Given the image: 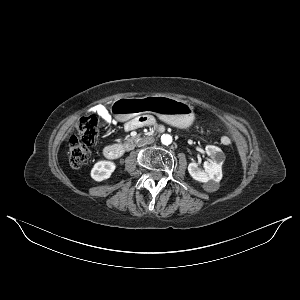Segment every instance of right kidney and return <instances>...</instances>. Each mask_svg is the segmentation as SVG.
Here are the masks:
<instances>
[{
	"label": "right kidney",
	"mask_w": 300,
	"mask_h": 300,
	"mask_svg": "<svg viewBox=\"0 0 300 300\" xmlns=\"http://www.w3.org/2000/svg\"><path fill=\"white\" fill-rule=\"evenodd\" d=\"M116 165L112 161L101 160L98 161L91 170V177L95 181H103L110 178L114 172Z\"/></svg>",
	"instance_id": "obj_1"
}]
</instances>
